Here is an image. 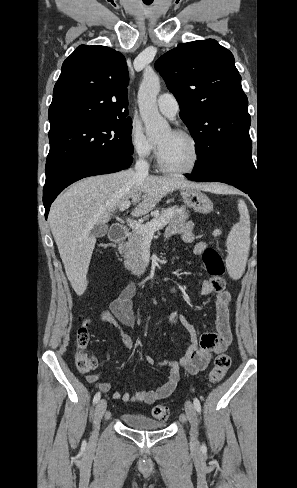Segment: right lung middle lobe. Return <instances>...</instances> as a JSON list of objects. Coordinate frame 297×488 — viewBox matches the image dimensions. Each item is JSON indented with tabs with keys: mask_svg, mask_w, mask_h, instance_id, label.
Listing matches in <instances>:
<instances>
[{
	"mask_svg": "<svg viewBox=\"0 0 297 488\" xmlns=\"http://www.w3.org/2000/svg\"><path fill=\"white\" fill-rule=\"evenodd\" d=\"M131 131L132 120L129 117L83 123L49 133L45 183L84 162L131 156Z\"/></svg>",
	"mask_w": 297,
	"mask_h": 488,
	"instance_id": "1",
	"label": "right lung middle lobe"
}]
</instances>
